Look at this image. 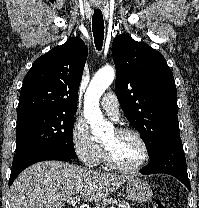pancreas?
Instances as JSON below:
<instances>
[{
	"label": "pancreas",
	"mask_w": 199,
	"mask_h": 208,
	"mask_svg": "<svg viewBox=\"0 0 199 208\" xmlns=\"http://www.w3.org/2000/svg\"><path fill=\"white\" fill-rule=\"evenodd\" d=\"M117 199H109L107 200V202H112L113 205L115 204L118 208H131L130 207V203L128 201H119V203L117 204ZM96 208H105L104 205H98ZM111 208H115V207H111Z\"/></svg>",
	"instance_id": "1"
}]
</instances>
